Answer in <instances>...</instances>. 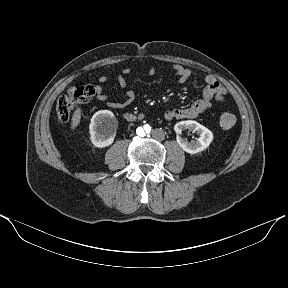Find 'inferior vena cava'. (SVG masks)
I'll return each instance as SVG.
<instances>
[{
  "label": "inferior vena cava",
  "instance_id": "inferior-vena-cava-1",
  "mask_svg": "<svg viewBox=\"0 0 288 288\" xmlns=\"http://www.w3.org/2000/svg\"><path fill=\"white\" fill-rule=\"evenodd\" d=\"M165 138V133L163 130L161 129H154L152 132H151V139L154 141V142H161L163 141Z\"/></svg>",
  "mask_w": 288,
  "mask_h": 288
}]
</instances>
